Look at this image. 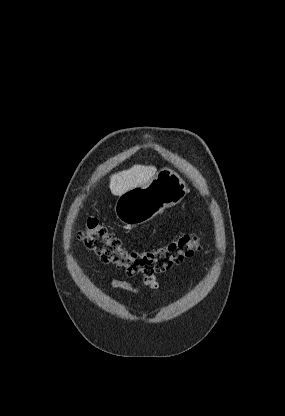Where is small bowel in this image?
I'll use <instances>...</instances> for the list:
<instances>
[{
	"mask_svg": "<svg viewBox=\"0 0 285 416\" xmlns=\"http://www.w3.org/2000/svg\"><path fill=\"white\" fill-rule=\"evenodd\" d=\"M142 283L147 286L148 288H150L151 290H157L158 289V283L155 279V277L153 276H145L142 278ZM111 286L114 288H119V289H123L126 291H130L132 293L135 294H139L140 293V289L126 281L123 280H118V279H112L110 282Z\"/></svg>",
	"mask_w": 285,
	"mask_h": 416,
	"instance_id": "small-bowel-1",
	"label": "small bowel"
}]
</instances>
